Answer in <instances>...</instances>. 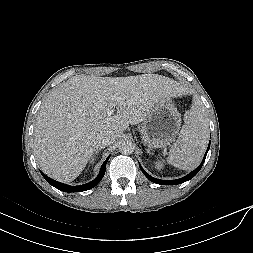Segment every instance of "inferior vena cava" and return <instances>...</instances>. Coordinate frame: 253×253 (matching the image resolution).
I'll return each mask as SVG.
<instances>
[{
	"label": "inferior vena cava",
	"instance_id": "inferior-vena-cava-1",
	"mask_svg": "<svg viewBox=\"0 0 253 253\" xmlns=\"http://www.w3.org/2000/svg\"><path fill=\"white\" fill-rule=\"evenodd\" d=\"M98 139L101 146H108L114 142L115 136L109 131H102Z\"/></svg>",
	"mask_w": 253,
	"mask_h": 253
}]
</instances>
